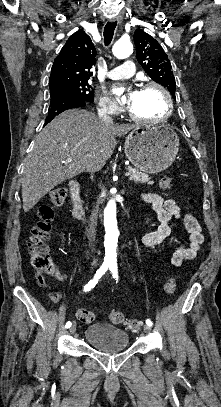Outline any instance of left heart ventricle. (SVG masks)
I'll use <instances>...</instances> for the list:
<instances>
[{
	"instance_id": "obj_1",
	"label": "left heart ventricle",
	"mask_w": 221,
	"mask_h": 407,
	"mask_svg": "<svg viewBox=\"0 0 221 407\" xmlns=\"http://www.w3.org/2000/svg\"><path fill=\"white\" fill-rule=\"evenodd\" d=\"M129 108L138 116L145 119H157L166 111L164 95L156 88L139 90L127 99Z\"/></svg>"
}]
</instances>
